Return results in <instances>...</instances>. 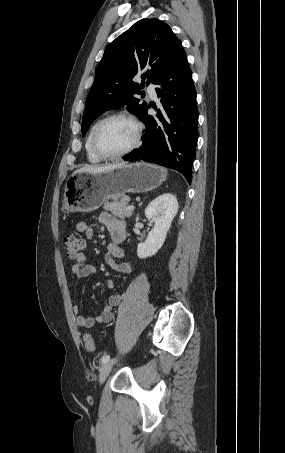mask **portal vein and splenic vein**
Instances as JSON below:
<instances>
[{
    "label": "portal vein and splenic vein",
    "mask_w": 285,
    "mask_h": 453,
    "mask_svg": "<svg viewBox=\"0 0 285 453\" xmlns=\"http://www.w3.org/2000/svg\"><path fill=\"white\" fill-rule=\"evenodd\" d=\"M128 209H129V210H134L133 204L129 205V206H128Z\"/></svg>",
    "instance_id": "18ae733b"
}]
</instances>
